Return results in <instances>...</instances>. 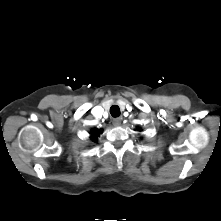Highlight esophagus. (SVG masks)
I'll return each instance as SVG.
<instances>
[{
	"instance_id": "obj_1",
	"label": "esophagus",
	"mask_w": 221,
	"mask_h": 221,
	"mask_svg": "<svg viewBox=\"0 0 221 221\" xmlns=\"http://www.w3.org/2000/svg\"><path fill=\"white\" fill-rule=\"evenodd\" d=\"M121 121H122V118H121V117L114 118V119H113V124H114L115 126H119V125H121Z\"/></svg>"
}]
</instances>
